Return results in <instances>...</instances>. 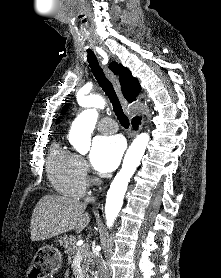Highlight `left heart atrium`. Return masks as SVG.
Wrapping results in <instances>:
<instances>
[{
  "mask_svg": "<svg viewBox=\"0 0 221 278\" xmlns=\"http://www.w3.org/2000/svg\"><path fill=\"white\" fill-rule=\"evenodd\" d=\"M124 151V143L118 136H101L94 139L90 163L99 173H110L119 164Z\"/></svg>",
  "mask_w": 221,
  "mask_h": 278,
  "instance_id": "obj_1",
  "label": "left heart atrium"
}]
</instances>
